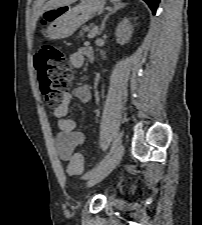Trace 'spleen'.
Listing matches in <instances>:
<instances>
[{"mask_svg":"<svg viewBox=\"0 0 202 225\" xmlns=\"http://www.w3.org/2000/svg\"><path fill=\"white\" fill-rule=\"evenodd\" d=\"M113 3H118V4H120L119 2H120V0H111Z\"/></svg>","mask_w":202,"mask_h":225,"instance_id":"obj_1","label":"spleen"}]
</instances>
